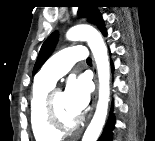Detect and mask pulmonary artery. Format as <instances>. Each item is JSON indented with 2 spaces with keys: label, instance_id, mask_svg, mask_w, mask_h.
<instances>
[{
  "label": "pulmonary artery",
  "instance_id": "1",
  "mask_svg": "<svg viewBox=\"0 0 155 141\" xmlns=\"http://www.w3.org/2000/svg\"><path fill=\"white\" fill-rule=\"evenodd\" d=\"M87 56L85 47L69 46L56 53L37 75V80L55 84L77 62Z\"/></svg>",
  "mask_w": 155,
  "mask_h": 141
}]
</instances>
